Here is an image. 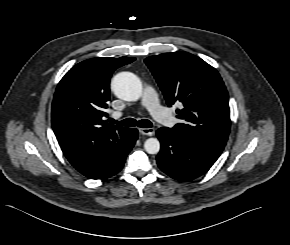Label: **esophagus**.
<instances>
[{"mask_svg":"<svg viewBox=\"0 0 290 245\" xmlns=\"http://www.w3.org/2000/svg\"><path fill=\"white\" fill-rule=\"evenodd\" d=\"M139 133L142 135L153 136L155 130L153 128H139Z\"/></svg>","mask_w":290,"mask_h":245,"instance_id":"esophagus-1","label":"esophagus"}]
</instances>
